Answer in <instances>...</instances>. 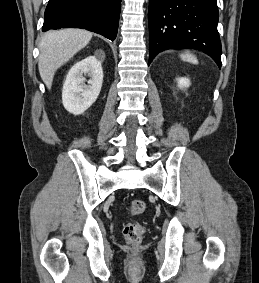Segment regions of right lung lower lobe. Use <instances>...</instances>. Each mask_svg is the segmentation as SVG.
<instances>
[{
    "label": "right lung lower lobe",
    "mask_w": 259,
    "mask_h": 283,
    "mask_svg": "<svg viewBox=\"0 0 259 283\" xmlns=\"http://www.w3.org/2000/svg\"><path fill=\"white\" fill-rule=\"evenodd\" d=\"M121 0H49L42 31L84 28L113 41L116 38Z\"/></svg>",
    "instance_id": "98d812e1"
}]
</instances>
